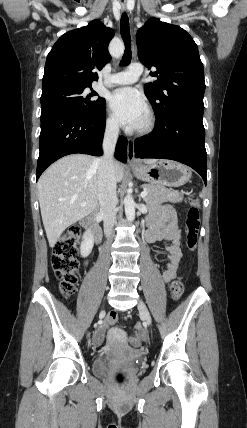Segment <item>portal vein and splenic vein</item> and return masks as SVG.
Here are the masks:
<instances>
[{
  "instance_id": "1",
  "label": "portal vein and splenic vein",
  "mask_w": 247,
  "mask_h": 428,
  "mask_svg": "<svg viewBox=\"0 0 247 428\" xmlns=\"http://www.w3.org/2000/svg\"><path fill=\"white\" fill-rule=\"evenodd\" d=\"M140 195L142 198H144L148 195V192L146 190H144L143 192H141ZM85 205H86V202L81 203V206H85Z\"/></svg>"
}]
</instances>
